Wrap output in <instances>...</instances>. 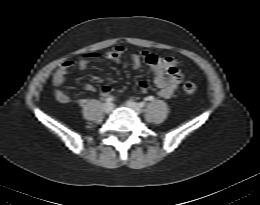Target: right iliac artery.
<instances>
[{"instance_id": "82829eb1", "label": "right iliac artery", "mask_w": 260, "mask_h": 205, "mask_svg": "<svg viewBox=\"0 0 260 205\" xmlns=\"http://www.w3.org/2000/svg\"><path fill=\"white\" fill-rule=\"evenodd\" d=\"M111 101H112V98H107V99H106V102H107V103H111Z\"/></svg>"}]
</instances>
